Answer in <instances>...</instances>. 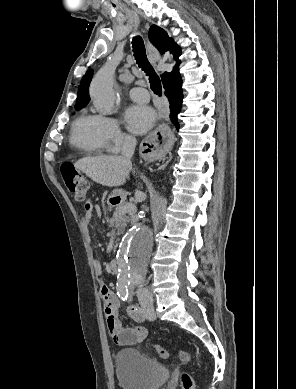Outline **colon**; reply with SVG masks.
Instances as JSON below:
<instances>
[{"mask_svg":"<svg viewBox=\"0 0 296 389\" xmlns=\"http://www.w3.org/2000/svg\"><path fill=\"white\" fill-rule=\"evenodd\" d=\"M61 175L68 190L74 194L77 201H85L88 193V183L85 176L76 170L73 164L65 163L61 166ZM156 351L161 358H168L169 353L163 347H157ZM178 357L183 363H188L191 359L190 354L185 351H179ZM182 389H193L194 381L187 372L181 374Z\"/></svg>","mask_w":296,"mask_h":389,"instance_id":"obj_1","label":"colon"}]
</instances>
